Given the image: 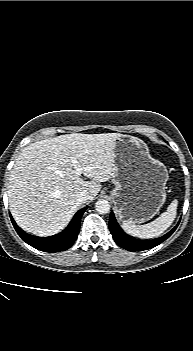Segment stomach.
<instances>
[{"label": "stomach", "mask_w": 193, "mask_h": 351, "mask_svg": "<svg viewBox=\"0 0 193 351\" xmlns=\"http://www.w3.org/2000/svg\"><path fill=\"white\" fill-rule=\"evenodd\" d=\"M114 166L111 197L119 218L137 224L152 219L166 200V166L143 140L128 135L115 141Z\"/></svg>", "instance_id": "obj_1"}]
</instances>
